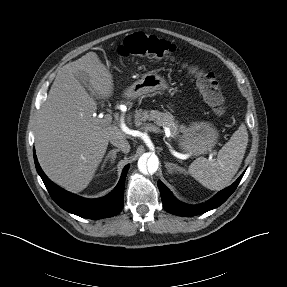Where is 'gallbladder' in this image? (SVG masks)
Wrapping results in <instances>:
<instances>
[{"mask_svg": "<svg viewBox=\"0 0 287 287\" xmlns=\"http://www.w3.org/2000/svg\"><path fill=\"white\" fill-rule=\"evenodd\" d=\"M76 77L81 85L85 88V90H87L92 95L88 76L85 73H79Z\"/></svg>", "mask_w": 287, "mask_h": 287, "instance_id": "1", "label": "gallbladder"}]
</instances>
